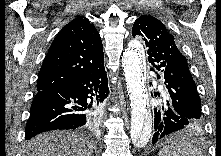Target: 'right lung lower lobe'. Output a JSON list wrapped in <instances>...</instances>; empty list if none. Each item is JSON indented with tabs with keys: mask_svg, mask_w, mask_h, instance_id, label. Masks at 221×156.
<instances>
[{
	"mask_svg": "<svg viewBox=\"0 0 221 156\" xmlns=\"http://www.w3.org/2000/svg\"><path fill=\"white\" fill-rule=\"evenodd\" d=\"M108 93L104 66L61 88L38 91L31 105L25 139L49 130L94 127L96 117L90 111L93 96H96L98 103Z\"/></svg>",
	"mask_w": 221,
	"mask_h": 156,
	"instance_id": "right-lung-lower-lobe-1",
	"label": "right lung lower lobe"
}]
</instances>
